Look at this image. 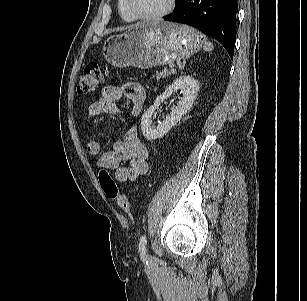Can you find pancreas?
<instances>
[{
	"label": "pancreas",
	"mask_w": 307,
	"mask_h": 301,
	"mask_svg": "<svg viewBox=\"0 0 307 301\" xmlns=\"http://www.w3.org/2000/svg\"><path fill=\"white\" fill-rule=\"evenodd\" d=\"M170 74H171V71L167 68H164L161 72H156V78L157 80H160V79L166 78Z\"/></svg>",
	"instance_id": "pancreas-1"
}]
</instances>
